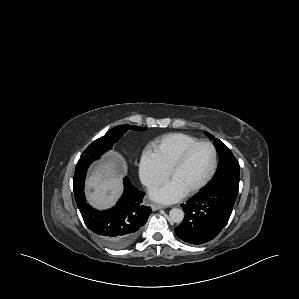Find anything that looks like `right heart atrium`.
<instances>
[{
    "instance_id": "obj_1",
    "label": "right heart atrium",
    "mask_w": 299,
    "mask_h": 299,
    "mask_svg": "<svg viewBox=\"0 0 299 299\" xmlns=\"http://www.w3.org/2000/svg\"><path fill=\"white\" fill-rule=\"evenodd\" d=\"M168 171L161 165L156 155L144 150L139 160V177L147 188H153L168 178Z\"/></svg>"
}]
</instances>
